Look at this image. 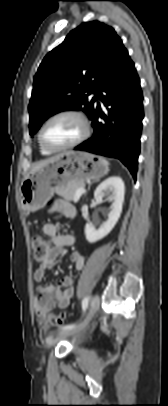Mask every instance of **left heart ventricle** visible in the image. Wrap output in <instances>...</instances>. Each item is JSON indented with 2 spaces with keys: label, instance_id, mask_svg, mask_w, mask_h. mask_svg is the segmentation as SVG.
<instances>
[{
  "label": "left heart ventricle",
  "instance_id": "obj_1",
  "mask_svg": "<svg viewBox=\"0 0 168 406\" xmlns=\"http://www.w3.org/2000/svg\"><path fill=\"white\" fill-rule=\"evenodd\" d=\"M82 132L81 123L74 117L63 116L51 121L44 130L46 143L64 146L77 139Z\"/></svg>",
  "mask_w": 168,
  "mask_h": 406
}]
</instances>
